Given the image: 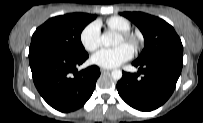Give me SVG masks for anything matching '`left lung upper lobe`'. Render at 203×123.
<instances>
[{
	"instance_id": "left-lung-upper-lobe-1",
	"label": "left lung upper lobe",
	"mask_w": 203,
	"mask_h": 123,
	"mask_svg": "<svg viewBox=\"0 0 203 123\" xmlns=\"http://www.w3.org/2000/svg\"><path fill=\"white\" fill-rule=\"evenodd\" d=\"M142 32L145 47L136 61L167 54H183V45L174 28L163 19L142 12H123Z\"/></svg>"
}]
</instances>
